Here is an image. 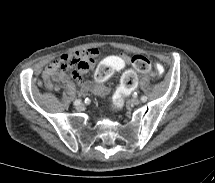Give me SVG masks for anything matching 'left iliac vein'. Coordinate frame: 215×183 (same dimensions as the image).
Here are the masks:
<instances>
[{"label": "left iliac vein", "mask_w": 215, "mask_h": 183, "mask_svg": "<svg viewBox=\"0 0 215 183\" xmlns=\"http://www.w3.org/2000/svg\"><path fill=\"white\" fill-rule=\"evenodd\" d=\"M140 102L141 101L138 98H132V99H130V103L133 104V105H138Z\"/></svg>", "instance_id": "4c4485c4"}]
</instances>
